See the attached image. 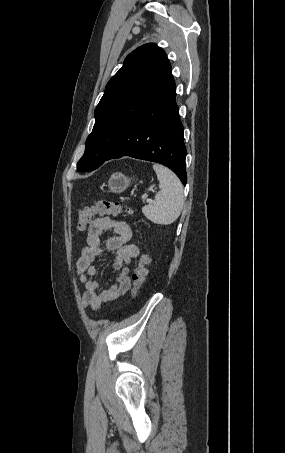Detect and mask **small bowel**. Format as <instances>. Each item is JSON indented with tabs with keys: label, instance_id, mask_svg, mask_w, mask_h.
<instances>
[{
	"label": "small bowel",
	"instance_id": "1",
	"mask_svg": "<svg viewBox=\"0 0 285 453\" xmlns=\"http://www.w3.org/2000/svg\"><path fill=\"white\" fill-rule=\"evenodd\" d=\"M111 231L113 235L106 241V250L114 252L113 266L119 271L113 284L107 289L100 290V283L96 279L97 269L95 260L102 254L100 236ZM133 231L131 226L122 220H113L109 217L94 219L88 227L86 246L76 263L77 274L85 287L82 303L85 307L94 310L123 295L130 287V265L139 255V248L132 243Z\"/></svg>",
	"mask_w": 285,
	"mask_h": 453
}]
</instances>
